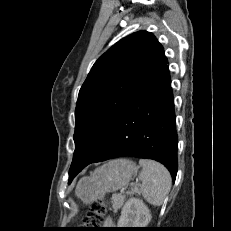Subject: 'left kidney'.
<instances>
[{
  "label": "left kidney",
  "instance_id": "obj_1",
  "mask_svg": "<svg viewBox=\"0 0 231 231\" xmlns=\"http://www.w3.org/2000/svg\"><path fill=\"white\" fill-rule=\"evenodd\" d=\"M151 220L148 207L138 198H130L122 208L119 228H145Z\"/></svg>",
  "mask_w": 231,
  "mask_h": 231
}]
</instances>
